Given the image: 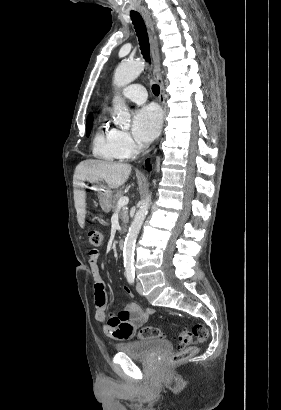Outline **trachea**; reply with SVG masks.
<instances>
[{
    "label": "trachea",
    "instance_id": "trachea-1",
    "mask_svg": "<svg viewBox=\"0 0 281 410\" xmlns=\"http://www.w3.org/2000/svg\"><path fill=\"white\" fill-rule=\"evenodd\" d=\"M130 17L132 19V23L134 25L135 31L137 33L139 39V45L141 49V53L144 59L147 62H150V50H149V39L146 30V26L141 15L138 12H131ZM152 92L155 96H158L160 93V87L157 84L152 85Z\"/></svg>",
    "mask_w": 281,
    "mask_h": 410
}]
</instances>
